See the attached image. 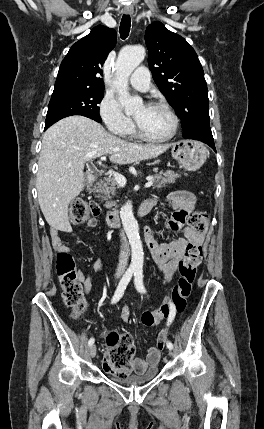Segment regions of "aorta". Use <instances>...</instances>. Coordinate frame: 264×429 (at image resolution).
Here are the masks:
<instances>
[{
    "instance_id": "obj_1",
    "label": "aorta",
    "mask_w": 264,
    "mask_h": 429,
    "mask_svg": "<svg viewBox=\"0 0 264 429\" xmlns=\"http://www.w3.org/2000/svg\"><path fill=\"white\" fill-rule=\"evenodd\" d=\"M145 49L142 46H127L119 52L115 69L116 79L114 85L118 92V100L125 112L132 113L135 109L143 105L140 97H132L128 92V78L134 69L144 60ZM120 218L123 228L131 245L132 269H142L144 253L142 242L139 236L137 220L133 215L132 203L129 201L120 210Z\"/></svg>"
}]
</instances>
